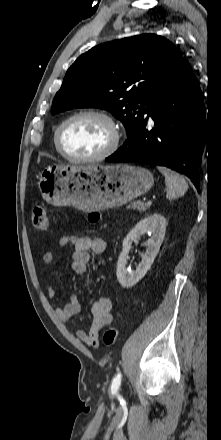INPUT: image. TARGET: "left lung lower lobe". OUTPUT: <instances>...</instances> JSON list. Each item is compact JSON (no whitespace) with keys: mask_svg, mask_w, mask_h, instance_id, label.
Listing matches in <instances>:
<instances>
[{"mask_svg":"<svg viewBox=\"0 0 221 440\" xmlns=\"http://www.w3.org/2000/svg\"><path fill=\"white\" fill-rule=\"evenodd\" d=\"M149 116L152 129L147 128ZM205 141L202 93L190 64L182 58L149 99L131 138L106 160L166 166L189 177L199 192Z\"/></svg>","mask_w":221,"mask_h":440,"instance_id":"0a47b994","label":"left lung lower lobe"}]
</instances>
